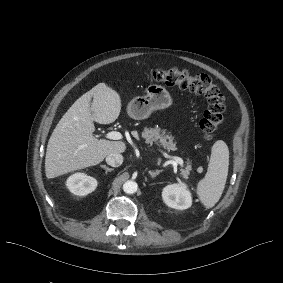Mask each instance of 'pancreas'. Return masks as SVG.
<instances>
[{"label": "pancreas", "mask_w": 283, "mask_h": 283, "mask_svg": "<svg viewBox=\"0 0 283 283\" xmlns=\"http://www.w3.org/2000/svg\"><path fill=\"white\" fill-rule=\"evenodd\" d=\"M142 137L145 139V143L147 144L155 143L156 145H161L168 151L177 150L176 143L173 142V136L166 135L165 131H161L160 128L145 127L142 132ZM191 169V165H187V167L181 172L183 177L187 178Z\"/></svg>", "instance_id": "obj_1"}]
</instances>
